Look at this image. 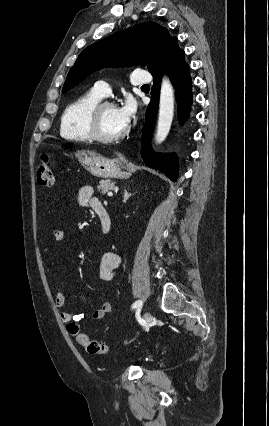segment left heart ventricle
<instances>
[{"mask_svg":"<svg viewBox=\"0 0 269 426\" xmlns=\"http://www.w3.org/2000/svg\"><path fill=\"white\" fill-rule=\"evenodd\" d=\"M99 126L101 133L105 137L118 136L126 128L120 122L118 110L116 107H107L102 111L100 115Z\"/></svg>","mask_w":269,"mask_h":426,"instance_id":"1","label":"left heart ventricle"}]
</instances>
